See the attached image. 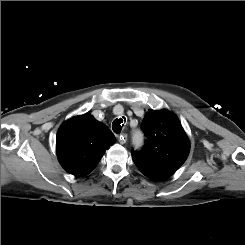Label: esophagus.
I'll use <instances>...</instances> for the list:
<instances>
[{
  "label": "esophagus",
  "instance_id": "esophagus-1",
  "mask_svg": "<svg viewBox=\"0 0 245 245\" xmlns=\"http://www.w3.org/2000/svg\"><path fill=\"white\" fill-rule=\"evenodd\" d=\"M128 135L126 133H122L119 137L118 140L120 144H125L127 142Z\"/></svg>",
  "mask_w": 245,
  "mask_h": 245
}]
</instances>
